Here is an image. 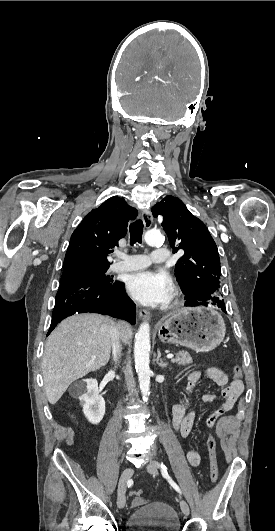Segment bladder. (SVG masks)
<instances>
[{"label": "bladder", "instance_id": "1", "mask_svg": "<svg viewBox=\"0 0 275 531\" xmlns=\"http://www.w3.org/2000/svg\"><path fill=\"white\" fill-rule=\"evenodd\" d=\"M130 531H180L174 509L163 501L146 504L129 517Z\"/></svg>", "mask_w": 275, "mask_h": 531}]
</instances>
